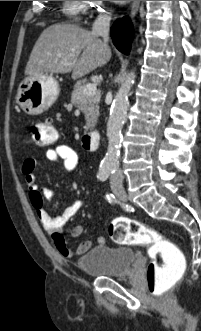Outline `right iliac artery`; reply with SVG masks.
Masks as SVG:
<instances>
[{"mask_svg": "<svg viewBox=\"0 0 201 331\" xmlns=\"http://www.w3.org/2000/svg\"><path fill=\"white\" fill-rule=\"evenodd\" d=\"M106 197H107V200L109 201V203H116L117 202L114 195H112V194H107Z\"/></svg>", "mask_w": 201, "mask_h": 331, "instance_id": "obj_1", "label": "right iliac artery"}]
</instances>
